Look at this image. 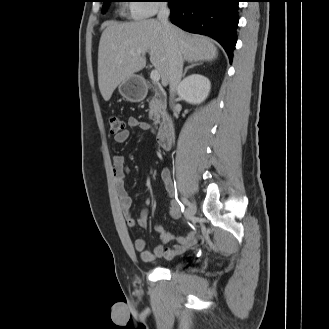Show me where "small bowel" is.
Returning <instances> with one entry per match:
<instances>
[{"mask_svg":"<svg viewBox=\"0 0 329 329\" xmlns=\"http://www.w3.org/2000/svg\"><path fill=\"white\" fill-rule=\"evenodd\" d=\"M127 125L129 129L153 131V128L149 122L140 121L136 117H129L127 120ZM129 129H125L123 132L115 135L114 141L119 144L125 143L130 136ZM127 174L128 168L126 166L125 157L123 155L114 156L113 175L115 179V188L120 209L125 221L131 229H135L138 226L146 227L149 218L148 209L141 210L136 218L131 214L132 199L125 186ZM161 179L167 192L173 196L174 186L168 170L163 169L161 171ZM169 215L172 219H178L181 215L180 206L174 198L169 200ZM156 230L159 234L160 243L154 248L153 251H148L146 249V242L142 238H137L133 242L135 251L140 254L141 259L145 262H151L158 258H165L167 260L173 259L175 256L188 251L197 243V236L194 233L175 237L161 226H157ZM173 240L176 241V243L169 246Z\"/></svg>","mask_w":329,"mask_h":329,"instance_id":"small-bowel-1","label":"small bowel"}]
</instances>
